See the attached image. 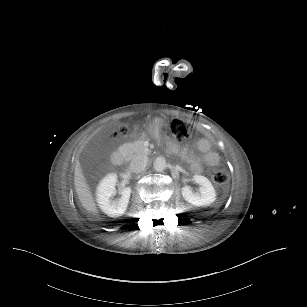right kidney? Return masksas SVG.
Masks as SVG:
<instances>
[{
	"label": "right kidney",
	"instance_id": "obj_1",
	"mask_svg": "<svg viewBox=\"0 0 307 307\" xmlns=\"http://www.w3.org/2000/svg\"><path fill=\"white\" fill-rule=\"evenodd\" d=\"M117 174H107L98 184L96 189V201L99 208L109 217H119L124 214L127 209L131 195V188L125 187L120 193L121 197L112 200L111 197L116 193Z\"/></svg>",
	"mask_w": 307,
	"mask_h": 307
}]
</instances>
